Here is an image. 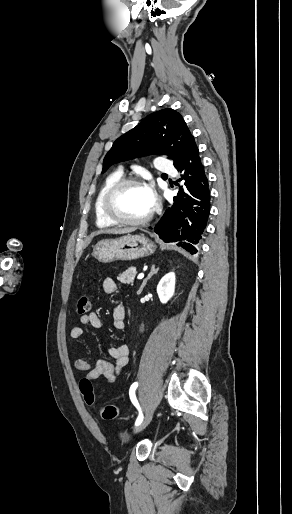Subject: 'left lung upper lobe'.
<instances>
[{
    "label": "left lung upper lobe",
    "mask_w": 292,
    "mask_h": 514,
    "mask_svg": "<svg viewBox=\"0 0 292 514\" xmlns=\"http://www.w3.org/2000/svg\"><path fill=\"white\" fill-rule=\"evenodd\" d=\"M193 141L194 137L177 111H156L113 143L104 158L102 173L113 164L151 154H167L176 168Z\"/></svg>",
    "instance_id": "left-lung-upper-lobe-1"
}]
</instances>
